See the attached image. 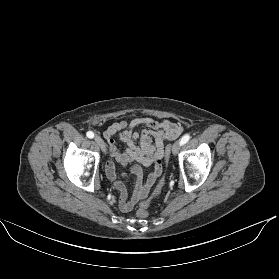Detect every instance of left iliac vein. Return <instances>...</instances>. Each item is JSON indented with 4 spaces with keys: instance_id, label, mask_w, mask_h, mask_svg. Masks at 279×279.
I'll use <instances>...</instances> for the list:
<instances>
[{
    "instance_id": "4c4485c4",
    "label": "left iliac vein",
    "mask_w": 279,
    "mask_h": 279,
    "mask_svg": "<svg viewBox=\"0 0 279 279\" xmlns=\"http://www.w3.org/2000/svg\"><path fill=\"white\" fill-rule=\"evenodd\" d=\"M180 148H181V143H180V141H176V142L173 144V146H172V154H173V155H177V153L179 152Z\"/></svg>"
}]
</instances>
